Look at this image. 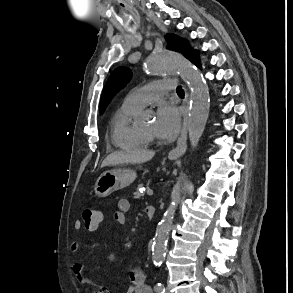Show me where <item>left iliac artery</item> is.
<instances>
[{"label":"left iliac artery","instance_id":"left-iliac-artery-1","mask_svg":"<svg viewBox=\"0 0 293 293\" xmlns=\"http://www.w3.org/2000/svg\"><path fill=\"white\" fill-rule=\"evenodd\" d=\"M154 290L157 292V293H165V287L162 283L158 282L156 283V285L154 286Z\"/></svg>","mask_w":293,"mask_h":293}]
</instances>
